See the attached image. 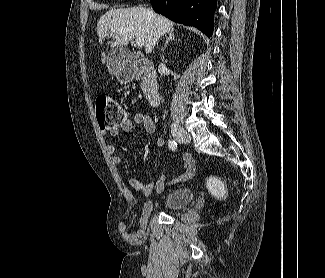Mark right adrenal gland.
Returning a JSON list of instances; mask_svg holds the SVG:
<instances>
[{
    "instance_id": "obj_1",
    "label": "right adrenal gland",
    "mask_w": 325,
    "mask_h": 278,
    "mask_svg": "<svg viewBox=\"0 0 325 278\" xmlns=\"http://www.w3.org/2000/svg\"><path fill=\"white\" fill-rule=\"evenodd\" d=\"M175 35H174V29H171L169 32H168V36L166 37V42L164 44V46L162 47L161 49V52H164L166 46L168 45V43L170 41H175Z\"/></svg>"
}]
</instances>
